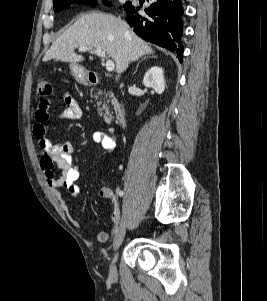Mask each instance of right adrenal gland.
Instances as JSON below:
<instances>
[{"label":"right adrenal gland","mask_w":267,"mask_h":301,"mask_svg":"<svg viewBox=\"0 0 267 301\" xmlns=\"http://www.w3.org/2000/svg\"><path fill=\"white\" fill-rule=\"evenodd\" d=\"M146 58H156V56H150V55H148L147 57H146V56L143 57V59H141V60L138 62L137 66H136V70H135L134 73L137 72V69H138L139 64H140L143 60H145Z\"/></svg>","instance_id":"obj_1"}]
</instances>
